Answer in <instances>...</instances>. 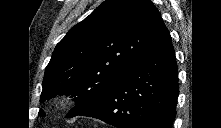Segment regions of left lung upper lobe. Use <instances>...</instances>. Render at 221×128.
Listing matches in <instances>:
<instances>
[{
	"instance_id": "5c2ea615",
	"label": "left lung upper lobe",
	"mask_w": 221,
	"mask_h": 128,
	"mask_svg": "<svg viewBox=\"0 0 221 128\" xmlns=\"http://www.w3.org/2000/svg\"><path fill=\"white\" fill-rule=\"evenodd\" d=\"M165 28L149 0L104 1L55 47L45 70L40 101L58 94L72 95L76 106L67 117L92 108Z\"/></svg>"
}]
</instances>
